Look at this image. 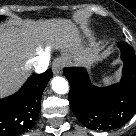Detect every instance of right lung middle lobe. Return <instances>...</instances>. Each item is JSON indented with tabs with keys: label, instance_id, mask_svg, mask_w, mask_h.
I'll return each mask as SVG.
<instances>
[{
	"label": "right lung middle lobe",
	"instance_id": "obj_1",
	"mask_svg": "<svg viewBox=\"0 0 136 136\" xmlns=\"http://www.w3.org/2000/svg\"><path fill=\"white\" fill-rule=\"evenodd\" d=\"M4 19V16H0V20Z\"/></svg>",
	"mask_w": 136,
	"mask_h": 136
}]
</instances>
